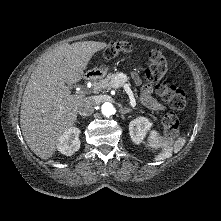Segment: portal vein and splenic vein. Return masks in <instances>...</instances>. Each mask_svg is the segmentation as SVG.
Segmentation results:
<instances>
[{
  "mask_svg": "<svg viewBox=\"0 0 221 221\" xmlns=\"http://www.w3.org/2000/svg\"><path fill=\"white\" fill-rule=\"evenodd\" d=\"M122 86L124 87V90H125V92L127 93L128 97H129L131 106H132V107H135V106H136V101H135V98H134V96H133V92L131 91L129 85L120 82L119 79H116V80L114 81V84H113V87H114V88H119V87H122Z\"/></svg>",
  "mask_w": 221,
  "mask_h": 221,
  "instance_id": "obj_1",
  "label": "portal vein and splenic vein"
}]
</instances>
